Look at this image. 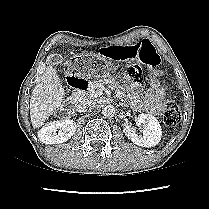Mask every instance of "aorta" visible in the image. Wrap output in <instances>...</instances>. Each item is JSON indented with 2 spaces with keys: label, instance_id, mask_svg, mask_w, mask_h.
I'll return each mask as SVG.
<instances>
[{
  "label": "aorta",
  "instance_id": "1",
  "mask_svg": "<svg viewBox=\"0 0 209 209\" xmlns=\"http://www.w3.org/2000/svg\"><path fill=\"white\" fill-rule=\"evenodd\" d=\"M116 109L113 105L109 104L103 107L102 114L105 117H112L115 115Z\"/></svg>",
  "mask_w": 209,
  "mask_h": 209
}]
</instances>
